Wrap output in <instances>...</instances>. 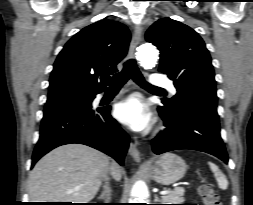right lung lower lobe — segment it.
Masks as SVG:
<instances>
[{"label": "right lung lower lobe", "instance_id": "1", "mask_svg": "<svg viewBox=\"0 0 253 205\" xmlns=\"http://www.w3.org/2000/svg\"><path fill=\"white\" fill-rule=\"evenodd\" d=\"M70 143L98 149L123 165L129 136L110 115V107L96 110L91 109V105L48 108L44 110L32 167L50 150Z\"/></svg>", "mask_w": 253, "mask_h": 205}]
</instances>
